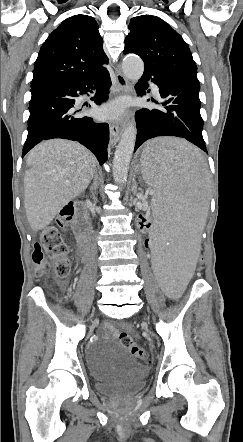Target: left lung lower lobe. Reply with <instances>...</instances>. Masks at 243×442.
I'll return each mask as SVG.
<instances>
[{
	"instance_id": "obj_1",
	"label": "left lung lower lobe",
	"mask_w": 243,
	"mask_h": 442,
	"mask_svg": "<svg viewBox=\"0 0 243 442\" xmlns=\"http://www.w3.org/2000/svg\"><path fill=\"white\" fill-rule=\"evenodd\" d=\"M149 79L160 88L163 99L161 104L164 107L142 108L136 112L138 130L134 151L148 139L176 136L185 138L208 153L202 136L203 119L200 115V84L197 77L156 71L145 66L143 76L136 85L139 94H145L148 87L146 81ZM152 101L158 104L157 101Z\"/></svg>"
}]
</instances>
